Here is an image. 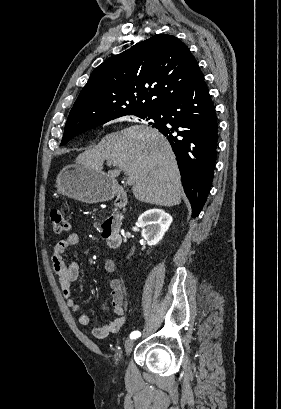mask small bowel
<instances>
[{"mask_svg": "<svg viewBox=\"0 0 281 409\" xmlns=\"http://www.w3.org/2000/svg\"><path fill=\"white\" fill-rule=\"evenodd\" d=\"M79 243V236L76 233H70L57 242L54 254L52 256L53 269L58 275L59 284L66 300L67 305L74 311L79 310V304L72 295V283L78 278L79 266L76 262L66 264L64 255L72 247ZM116 269L114 260L107 259L104 262L106 273H113ZM111 305L115 318L103 326L93 325L87 314L81 313L78 316V322L84 327H88L91 334L96 338H104L110 334L119 332L125 324L124 316V294L122 282L118 279L110 281Z\"/></svg>", "mask_w": 281, "mask_h": 409, "instance_id": "obj_1", "label": "small bowel"}]
</instances>
